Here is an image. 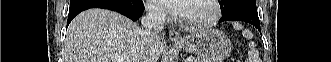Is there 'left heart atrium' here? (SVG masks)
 <instances>
[{
	"label": "left heart atrium",
	"mask_w": 331,
	"mask_h": 62,
	"mask_svg": "<svg viewBox=\"0 0 331 62\" xmlns=\"http://www.w3.org/2000/svg\"><path fill=\"white\" fill-rule=\"evenodd\" d=\"M158 3L170 13L185 17L189 13L191 0H158Z\"/></svg>",
	"instance_id": "1"
}]
</instances>
